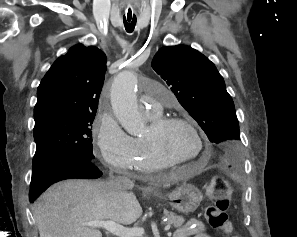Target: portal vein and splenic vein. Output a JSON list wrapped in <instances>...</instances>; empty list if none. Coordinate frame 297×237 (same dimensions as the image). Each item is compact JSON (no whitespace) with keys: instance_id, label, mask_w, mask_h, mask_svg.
I'll use <instances>...</instances> for the list:
<instances>
[{"instance_id":"1","label":"portal vein and splenic vein","mask_w":297,"mask_h":237,"mask_svg":"<svg viewBox=\"0 0 297 237\" xmlns=\"http://www.w3.org/2000/svg\"><path fill=\"white\" fill-rule=\"evenodd\" d=\"M86 226L92 227V228H104L108 232L112 233L115 236L118 237H142L144 235V229L143 228H126L114 221L108 220V221H90L85 223ZM171 225L167 224L164 227L165 231H168L170 229Z\"/></svg>"}]
</instances>
